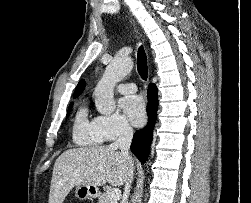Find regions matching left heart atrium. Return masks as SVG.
Listing matches in <instances>:
<instances>
[{"mask_svg":"<svg viewBox=\"0 0 251 203\" xmlns=\"http://www.w3.org/2000/svg\"><path fill=\"white\" fill-rule=\"evenodd\" d=\"M121 107L135 126L145 122V103L140 96H128L121 100Z\"/></svg>","mask_w":251,"mask_h":203,"instance_id":"39dd6f15","label":"left heart atrium"}]
</instances>
